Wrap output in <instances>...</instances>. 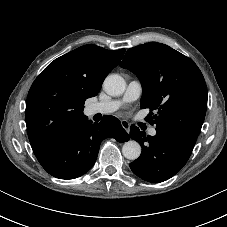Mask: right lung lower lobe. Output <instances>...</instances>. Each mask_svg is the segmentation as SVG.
Here are the masks:
<instances>
[{"mask_svg":"<svg viewBox=\"0 0 227 227\" xmlns=\"http://www.w3.org/2000/svg\"><path fill=\"white\" fill-rule=\"evenodd\" d=\"M126 137L128 134L120 121L110 115L100 123L86 119L60 137L42 156L39 163L52 176L74 179L85 174L94 165L100 143L105 138Z\"/></svg>","mask_w":227,"mask_h":227,"instance_id":"98d812e1","label":"right lung lower lobe"}]
</instances>
